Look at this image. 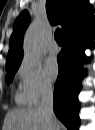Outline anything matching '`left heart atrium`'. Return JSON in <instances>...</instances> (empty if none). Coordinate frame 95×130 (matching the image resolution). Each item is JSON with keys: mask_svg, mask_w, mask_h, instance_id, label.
<instances>
[{"mask_svg": "<svg viewBox=\"0 0 95 130\" xmlns=\"http://www.w3.org/2000/svg\"><path fill=\"white\" fill-rule=\"evenodd\" d=\"M45 69L50 79H55L59 74V65L54 57H50L46 60Z\"/></svg>", "mask_w": 95, "mask_h": 130, "instance_id": "left-heart-atrium-1", "label": "left heart atrium"}]
</instances>
